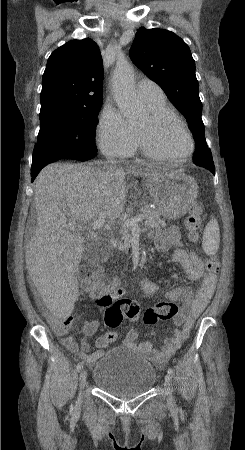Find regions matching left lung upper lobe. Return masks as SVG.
<instances>
[{"label":"left lung upper lobe","instance_id":"left-lung-upper-lobe-1","mask_svg":"<svg viewBox=\"0 0 245 450\" xmlns=\"http://www.w3.org/2000/svg\"><path fill=\"white\" fill-rule=\"evenodd\" d=\"M134 64L156 82L186 117L193 132L195 146L208 147L201 118L202 103L195 75V61L188 45L173 32L164 29L139 28L129 52ZM197 156V165H209L210 151ZM195 154V153H194Z\"/></svg>","mask_w":245,"mask_h":450}]
</instances>
